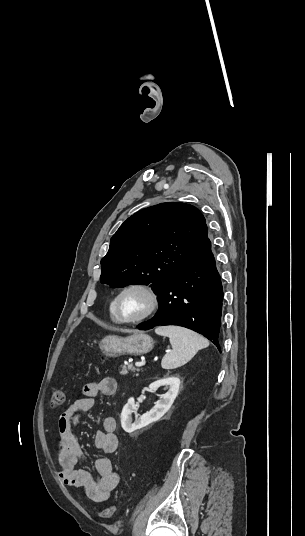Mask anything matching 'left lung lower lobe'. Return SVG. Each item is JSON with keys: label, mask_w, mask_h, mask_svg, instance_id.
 <instances>
[{"label": "left lung lower lobe", "mask_w": 305, "mask_h": 536, "mask_svg": "<svg viewBox=\"0 0 305 536\" xmlns=\"http://www.w3.org/2000/svg\"><path fill=\"white\" fill-rule=\"evenodd\" d=\"M158 300V312L148 322L138 325L140 330L159 325L186 327L204 335L221 351L223 289L210 241L160 290Z\"/></svg>", "instance_id": "0a47b994"}]
</instances>
